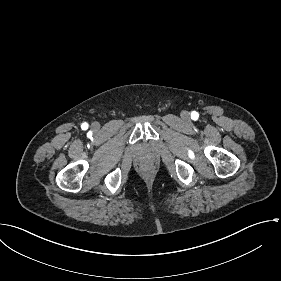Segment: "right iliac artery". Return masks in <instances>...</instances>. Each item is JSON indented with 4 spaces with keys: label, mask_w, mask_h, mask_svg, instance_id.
Segmentation results:
<instances>
[{
    "label": "right iliac artery",
    "mask_w": 281,
    "mask_h": 281,
    "mask_svg": "<svg viewBox=\"0 0 281 281\" xmlns=\"http://www.w3.org/2000/svg\"><path fill=\"white\" fill-rule=\"evenodd\" d=\"M83 126H84V128H87V124L85 123V124H83Z\"/></svg>",
    "instance_id": "82829eb1"
}]
</instances>
